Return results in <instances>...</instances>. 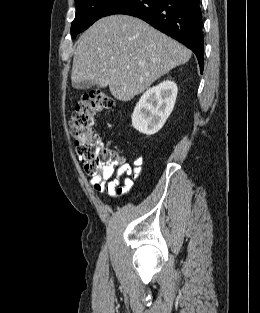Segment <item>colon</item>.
Returning a JSON list of instances; mask_svg holds the SVG:
<instances>
[{
    "label": "colon",
    "instance_id": "colon-1",
    "mask_svg": "<svg viewBox=\"0 0 260 313\" xmlns=\"http://www.w3.org/2000/svg\"><path fill=\"white\" fill-rule=\"evenodd\" d=\"M114 107V99L106 92L96 90L83 95L70 118L71 135L75 139L76 154L87 173L108 179L122 157L106 148L94 131L96 116Z\"/></svg>",
    "mask_w": 260,
    "mask_h": 313
}]
</instances>
